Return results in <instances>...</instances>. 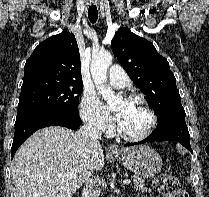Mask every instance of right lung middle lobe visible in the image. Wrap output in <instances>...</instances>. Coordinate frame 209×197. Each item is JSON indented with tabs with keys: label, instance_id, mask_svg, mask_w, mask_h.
<instances>
[{
	"label": "right lung middle lobe",
	"instance_id": "right-lung-middle-lobe-1",
	"mask_svg": "<svg viewBox=\"0 0 209 197\" xmlns=\"http://www.w3.org/2000/svg\"><path fill=\"white\" fill-rule=\"evenodd\" d=\"M82 91L83 83L74 81L35 80L24 83L16 119L44 111L78 114Z\"/></svg>",
	"mask_w": 209,
	"mask_h": 197
}]
</instances>
